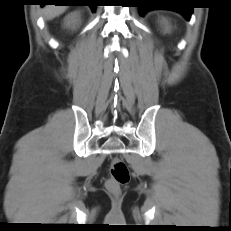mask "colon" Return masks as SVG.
Wrapping results in <instances>:
<instances>
[{
    "label": "colon",
    "mask_w": 231,
    "mask_h": 231,
    "mask_svg": "<svg viewBox=\"0 0 231 231\" xmlns=\"http://www.w3.org/2000/svg\"><path fill=\"white\" fill-rule=\"evenodd\" d=\"M130 180V172L126 163L118 158L112 160L110 165V176L105 182L107 190L118 193L122 185Z\"/></svg>",
    "instance_id": "colon-1"
}]
</instances>
